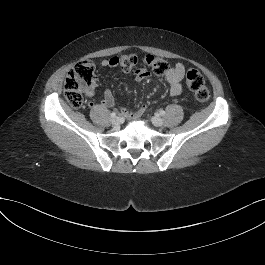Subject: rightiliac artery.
Listing matches in <instances>:
<instances>
[{"mask_svg": "<svg viewBox=\"0 0 265 265\" xmlns=\"http://www.w3.org/2000/svg\"><path fill=\"white\" fill-rule=\"evenodd\" d=\"M110 116H111V118H115V117H116V113H115V112H112V113L110 114Z\"/></svg>", "mask_w": 265, "mask_h": 265, "instance_id": "obj_1", "label": "right iliac artery"}]
</instances>
